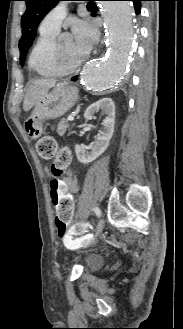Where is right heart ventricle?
Segmentation results:
<instances>
[{
  "instance_id": "1",
  "label": "right heart ventricle",
  "mask_w": 183,
  "mask_h": 329,
  "mask_svg": "<svg viewBox=\"0 0 183 329\" xmlns=\"http://www.w3.org/2000/svg\"><path fill=\"white\" fill-rule=\"evenodd\" d=\"M56 36L57 33L43 32L40 30L30 51L28 59L29 68L40 77L51 78L59 76L53 64Z\"/></svg>"
}]
</instances>
